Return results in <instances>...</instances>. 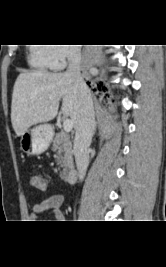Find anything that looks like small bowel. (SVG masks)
<instances>
[{"label": "small bowel", "mask_w": 166, "mask_h": 267, "mask_svg": "<svg viewBox=\"0 0 166 267\" xmlns=\"http://www.w3.org/2000/svg\"><path fill=\"white\" fill-rule=\"evenodd\" d=\"M64 201L65 198L61 194H55L46 198L45 200L34 205L31 218L35 220L43 213L50 212L56 220H63L64 216L61 211V207Z\"/></svg>", "instance_id": "1"}]
</instances>
